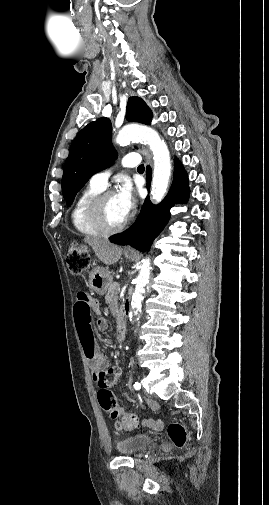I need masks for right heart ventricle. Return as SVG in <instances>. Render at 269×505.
<instances>
[{
    "label": "right heart ventricle",
    "instance_id": "1",
    "mask_svg": "<svg viewBox=\"0 0 269 505\" xmlns=\"http://www.w3.org/2000/svg\"><path fill=\"white\" fill-rule=\"evenodd\" d=\"M102 190V188L90 183L80 193L73 205L71 211V222L74 229L82 236L99 237L103 235V233L92 224L88 216L90 203L100 192H102Z\"/></svg>",
    "mask_w": 269,
    "mask_h": 505
}]
</instances>
